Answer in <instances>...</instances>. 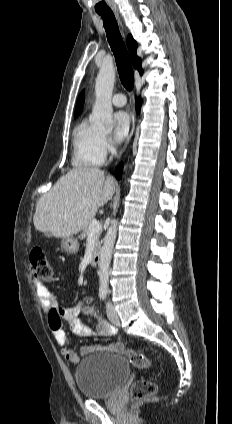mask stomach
Listing matches in <instances>:
<instances>
[{
    "mask_svg": "<svg viewBox=\"0 0 232 424\" xmlns=\"http://www.w3.org/2000/svg\"><path fill=\"white\" fill-rule=\"evenodd\" d=\"M58 250L67 254H75L79 250L78 240L74 237H65L60 243Z\"/></svg>",
    "mask_w": 232,
    "mask_h": 424,
    "instance_id": "stomach-1",
    "label": "stomach"
}]
</instances>
